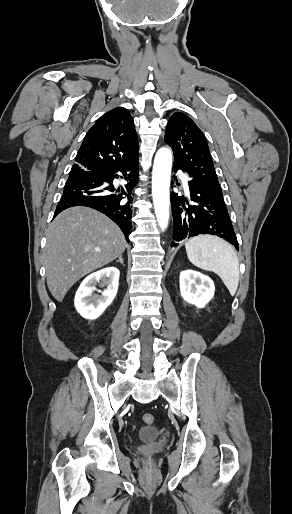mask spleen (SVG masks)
<instances>
[{
    "mask_svg": "<svg viewBox=\"0 0 292 514\" xmlns=\"http://www.w3.org/2000/svg\"><path fill=\"white\" fill-rule=\"evenodd\" d=\"M185 248L191 264L217 274L231 296H235L240 272L237 254L231 244L217 236H195L186 242Z\"/></svg>",
    "mask_w": 292,
    "mask_h": 514,
    "instance_id": "1",
    "label": "spleen"
}]
</instances>
